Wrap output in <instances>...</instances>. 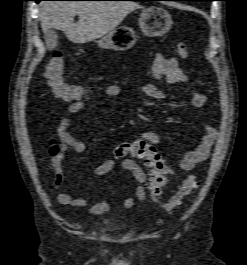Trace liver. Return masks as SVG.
<instances>
[{
	"label": "liver",
	"instance_id": "liver-1",
	"mask_svg": "<svg viewBox=\"0 0 247 265\" xmlns=\"http://www.w3.org/2000/svg\"><path fill=\"white\" fill-rule=\"evenodd\" d=\"M139 8L130 1H46L40 3V22L43 31L58 29L71 42L83 44L110 33Z\"/></svg>",
	"mask_w": 247,
	"mask_h": 265
}]
</instances>
